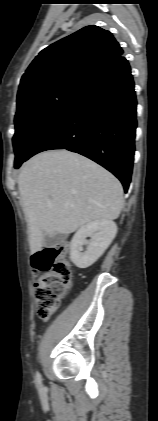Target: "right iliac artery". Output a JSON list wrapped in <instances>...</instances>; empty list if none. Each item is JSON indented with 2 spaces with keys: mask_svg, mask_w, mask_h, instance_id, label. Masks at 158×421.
Listing matches in <instances>:
<instances>
[{
  "mask_svg": "<svg viewBox=\"0 0 158 421\" xmlns=\"http://www.w3.org/2000/svg\"><path fill=\"white\" fill-rule=\"evenodd\" d=\"M36 382L37 384H41V375L39 374V372H36Z\"/></svg>",
  "mask_w": 158,
  "mask_h": 421,
  "instance_id": "right-iliac-artery-1",
  "label": "right iliac artery"
}]
</instances>
